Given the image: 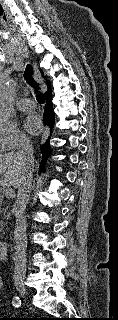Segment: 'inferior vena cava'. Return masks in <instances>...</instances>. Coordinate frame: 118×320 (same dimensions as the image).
I'll return each mask as SVG.
<instances>
[{
	"instance_id": "obj_1",
	"label": "inferior vena cava",
	"mask_w": 118,
	"mask_h": 320,
	"mask_svg": "<svg viewBox=\"0 0 118 320\" xmlns=\"http://www.w3.org/2000/svg\"><path fill=\"white\" fill-rule=\"evenodd\" d=\"M33 147L30 140L21 138L18 145L17 156L24 164V170L18 185L17 198L13 205L12 213L16 218L14 229L15 240V256H14V275L15 283L23 282L26 274V248H27V235H26V219L25 209L29 201L30 193L32 190V167L34 164Z\"/></svg>"
}]
</instances>
